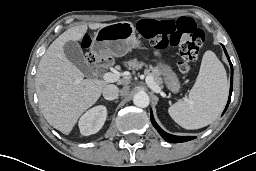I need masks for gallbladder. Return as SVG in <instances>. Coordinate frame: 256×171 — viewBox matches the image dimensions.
Listing matches in <instances>:
<instances>
[{
    "label": "gallbladder",
    "instance_id": "gallbladder-1",
    "mask_svg": "<svg viewBox=\"0 0 256 171\" xmlns=\"http://www.w3.org/2000/svg\"><path fill=\"white\" fill-rule=\"evenodd\" d=\"M64 53L67 59L73 63L83 73L88 74L91 70L89 63L86 61L82 49L76 41H67L64 44Z\"/></svg>",
    "mask_w": 256,
    "mask_h": 171
}]
</instances>
